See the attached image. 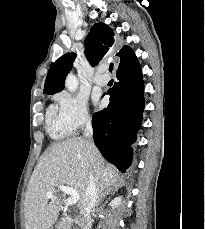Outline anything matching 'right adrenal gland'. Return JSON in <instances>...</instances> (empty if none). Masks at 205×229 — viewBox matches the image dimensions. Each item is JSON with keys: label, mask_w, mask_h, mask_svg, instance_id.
Listing matches in <instances>:
<instances>
[{"label": "right adrenal gland", "mask_w": 205, "mask_h": 229, "mask_svg": "<svg viewBox=\"0 0 205 229\" xmlns=\"http://www.w3.org/2000/svg\"><path fill=\"white\" fill-rule=\"evenodd\" d=\"M111 191H113L112 188H107V189H101L98 191V200L97 204H100V202L105 198L106 195H108Z\"/></svg>", "instance_id": "right-adrenal-gland-1"}]
</instances>
